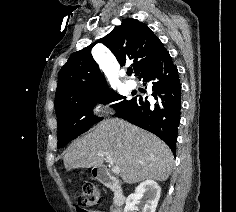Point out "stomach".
I'll list each match as a JSON object with an SVG mask.
<instances>
[{"label": "stomach", "instance_id": "1", "mask_svg": "<svg viewBox=\"0 0 236 212\" xmlns=\"http://www.w3.org/2000/svg\"><path fill=\"white\" fill-rule=\"evenodd\" d=\"M92 172H93L92 175L95 176V177H97V170H96V168H93V169H92Z\"/></svg>", "mask_w": 236, "mask_h": 212}]
</instances>
